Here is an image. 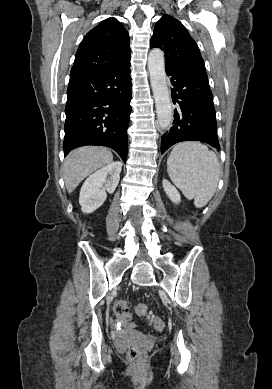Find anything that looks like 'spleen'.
Returning a JSON list of instances; mask_svg holds the SVG:
<instances>
[{"mask_svg":"<svg viewBox=\"0 0 272 389\" xmlns=\"http://www.w3.org/2000/svg\"><path fill=\"white\" fill-rule=\"evenodd\" d=\"M172 182L197 208L205 206L213 197L220 167L216 154L198 142L177 144L167 160Z\"/></svg>","mask_w":272,"mask_h":389,"instance_id":"spleen-1","label":"spleen"}]
</instances>
